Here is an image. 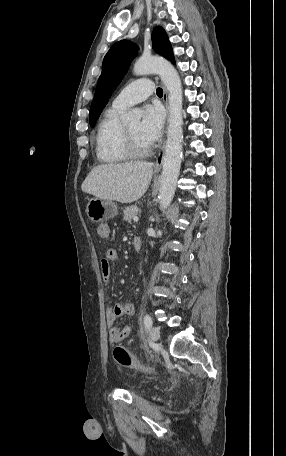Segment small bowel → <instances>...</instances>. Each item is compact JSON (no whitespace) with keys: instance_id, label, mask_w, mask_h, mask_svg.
Returning <instances> with one entry per match:
<instances>
[{"instance_id":"small-bowel-1","label":"small bowel","mask_w":286,"mask_h":456,"mask_svg":"<svg viewBox=\"0 0 286 456\" xmlns=\"http://www.w3.org/2000/svg\"><path fill=\"white\" fill-rule=\"evenodd\" d=\"M97 233L101 238H108L111 234V230L107 224H100L97 228ZM117 258V251L110 248L106 250L104 257L100 261V272L106 288H108L111 278V262L117 260ZM107 302L106 322L109 327V339L112 343H118L129 336L131 328L130 326L122 328L117 327L115 325L116 319L121 316H132L135 313V306L131 302L113 304L109 298H107Z\"/></svg>"}]
</instances>
